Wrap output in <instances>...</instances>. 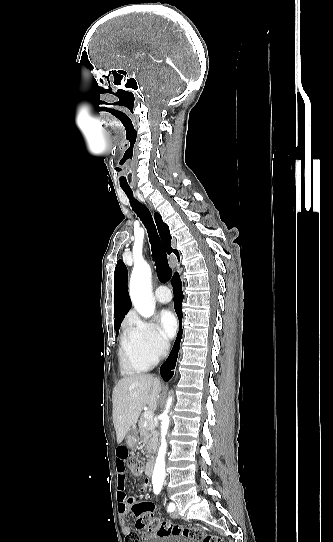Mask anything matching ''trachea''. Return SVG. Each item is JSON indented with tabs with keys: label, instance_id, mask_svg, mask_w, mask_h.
Returning a JSON list of instances; mask_svg holds the SVG:
<instances>
[{
	"label": "trachea",
	"instance_id": "3493384b",
	"mask_svg": "<svg viewBox=\"0 0 333 542\" xmlns=\"http://www.w3.org/2000/svg\"><path fill=\"white\" fill-rule=\"evenodd\" d=\"M126 193L127 197L129 198L130 205L132 207V210L137 214V216L140 218V220L144 223L145 227L147 228V232L149 234V240L151 243V249H152V256L153 260L155 261L156 265V272L158 275L159 280L161 282H168L172 276V270L168 265L167 261V255L163 248V245L161 243V240L157 234L156 227L154 225V222L152 220V215L150 211L140 203L138 200H136L133 196V192L131 189H123Z\"/></svg>",
	"mask_w": 333,
	"mask_h": 542
}]
</instances>
